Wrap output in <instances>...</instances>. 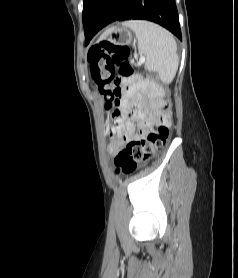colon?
I'll list each match as a JSON object with an SVG mask.
<instances>
[{
    "instance_id": "5ec220e1",
    "label": "colon",
    "mask_w": 238,
    "mask_h": 278,
    "mask_svg": "<svg viewBox=\"0 0 238 278\" xmlns=\"http://www.w3.org/2000/svg\"><path fill=\"white\" fill-rule=\"evenodd\" d=\"M87 58L91 78L99 93L107 101L106 108L109 110L117 106L123 85L129 82L134 74L130 63L129 48L102 41L89 49ZM159 99L161 101L160 115L156 129L150 132L146 139L131 141L118 152L114 159L117 175L132 173L140 164L165 147L169 137L171 111L168 99L162 95ZM114 111L112 117L115 115Z\"/></svg>"
}]
</instances>
